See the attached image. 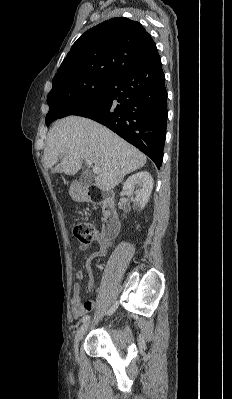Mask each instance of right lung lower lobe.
<instances>
[{
	"mask_svg": "<svg viewBox=\"0 0 232 399\" xmlns=\"http://www.w3.org/2000/svg\"><path fill=\"white\" fill-rule=\"evenodd\" d=\"M167 91L156 51L147 59L115 74L101 95L72 106L60 117L77 115L95 120L162 165L167 121Z\"/></svg>",
	"mask_w": 232,
	"mask_h": 399,
	"instance_id": "right-lung-lower-lobe-1",
	"label": "right lung lower lobe"
}]
</instances>
